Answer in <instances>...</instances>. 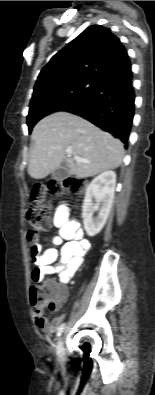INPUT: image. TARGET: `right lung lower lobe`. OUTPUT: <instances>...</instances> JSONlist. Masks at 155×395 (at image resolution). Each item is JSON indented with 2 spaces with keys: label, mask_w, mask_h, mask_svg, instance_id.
<instances>
[{
  "label": "right lung lower lobe",
  "mask_w": 155,
  "mask_h": 395,
  "mask_svg": "<svg viewBox=\"0 0 155 395\" xmlns=\"http://www.w3.org/2000/svg\"><path fill=\"white\" fill-rule=\"evenodd\" d=\"M134 101L130 67L109 73L94 92L63 110L87 119L127 143L134 116Z\"/></svg>",
  "instance_id": "right-lung-lower-lobe-1"
}]
</instances>
